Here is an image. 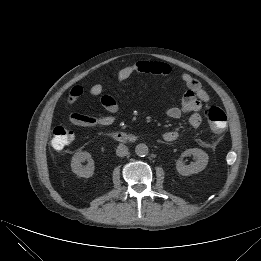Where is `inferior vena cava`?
<instances>
[{"label": "inferior vena cava", "instance_id": "obj_1", "mask_svg": "<svg viewBox=\"0 0 261 261\" xmlns=\"http://www.w3.org/2000/svg\"><path fill=\"white\" fill-rule=\"evenodd\" d=\"M116 154L119 157L126 156L128 154V147L123 144H120L116 149Z\"/></svg>", "mask_w": 261, "mask_h": 261}]
</instances>
